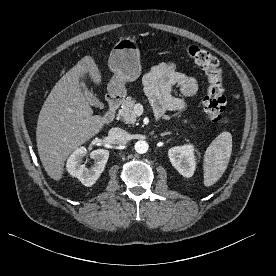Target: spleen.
<instances>
[{
	"label": "spleen",
	"mask_w": 276,
	"mask_h": 276,
	"mask_svg": "<svg viewBox=\"0 0 276 276\" xmlns=\"http://www.w3.org/2000/svg\"><path fill=\"white\" fill-rule=\"evenodd\" d=\"M232 152V135L221 132L209 145L204 155V185L215 184L224 174Z\"/></svg>",
	"instance_id": "1"
}]
</instances>
